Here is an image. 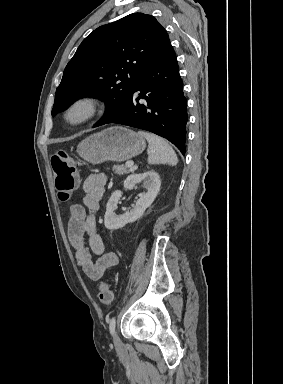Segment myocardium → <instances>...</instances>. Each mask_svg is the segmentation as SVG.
<instances>
[{
  "label": "myocardium",
  "mask_w": 283,
  "mask_h": 384,
  "mask_svg": "<svg viewBox=\"0 0 283 384\" xmlns=\"http://www.w3.org/2000/svg\"><path fill=\"white\" fill-rule=\"evenodd\" d=\"M100 110V102L93 96H80L72 100L63 112L64 122L71 127L82 126L91 121ZM79 111L80 116L73 118L72 115Z\"/></svg>",
  "instance_id": "f54148a6"
}]
</instances>
